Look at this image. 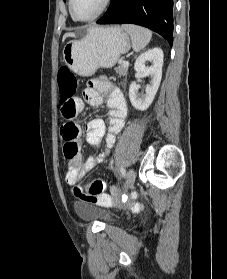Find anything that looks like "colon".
Segmentation results:
<instances>
[{"label": "colon", "mask_w": 227, "mask_h": 279, "mask_svg": "<svg viewBox=\"0 0 227 279\" xmlns=\"http://www.w3.org/2000/svg\"><path fill=\"white\" fill-rule=\"evenodd\" d=\"M58 79L63 98L61 114L67 119H73L77 115L76 93L78 91L77 80L71 70L61 68L58 71ZM79 128L76 125L66 123L62 129L64 139L63 153L67 159H72L78 154L76 138ZM74 194L89 203H109L110 195L105 192V182L102 179H94L84 186H77Z\"/></svg>", "instance_id": "5ec220e1"}]
</instances>
